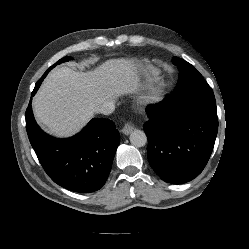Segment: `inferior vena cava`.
I'll return each mask as SVG.
<instances>
[{"mask_svg": "<svg viewBox=\"0 0 249 249\" xmlns=\"http://www.w3.org/2000/svg\"><path fill=\"white\" fill-rule=\"evenodd\" d=\"M114 109L115 105L113 101H106L97 109V112L104 115H109L114 111Z\"/></svg>", "mask_w": 249, "mask_h": 249, "instance_id": "602c4592", "label": "inferior vena cava"}]
</instances>
